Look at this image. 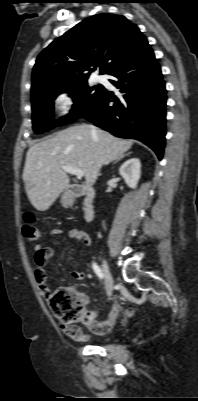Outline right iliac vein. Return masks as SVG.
Returning a JSON list of instances; mask_svg holds the SVG:
<instances>
[{"mask_svg":"<svg viewBox=\"0 0 198 401\" xmlns=\"http://www.w3.org/2000/svg\"><path fill=\"white\" fill-rule=\"evenodd\" d=\"M102 270L105 277V288L106 293L110 296L113 292V276L111 274L109 265L105 259L102 261Z\"/></svg>","mask_w":198,"mask_h":401,"instance_id":"63e3f726","label":"right iliac vein"}]
</instances>
